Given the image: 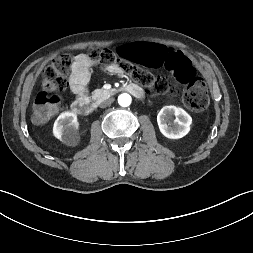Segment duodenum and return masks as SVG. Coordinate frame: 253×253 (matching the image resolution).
I'll use <instances>...</instances> for the list:
<instances>
[{
    "instance_id": "410a0bca",
    "label": "duodenum",
    "mask_w": 253,
    "mask_h": 253,
    "mask_svg": "<svg viewBox=\"0 0 253 253\" xmlns=\"http://www.w3.org/2000/svg\"><path fill=\"white\" fill-rule=\"evenodd\" d=\"M119 91H127L137 98H141L143 96L141 88L136 84L130 83L118 89L103 91L93 96L80 97L73 102L72 109L79 115H89L94 112L102 100L115 95Z\"/></svg>"
}]
</instances>
